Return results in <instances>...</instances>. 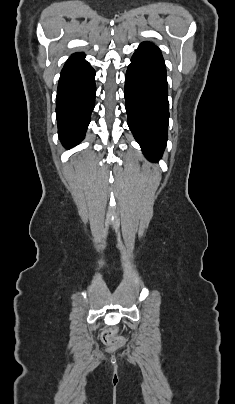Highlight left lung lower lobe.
Segmentation results:
<instances>
[{"label": "left lung lower lobe", "instance_id": "left-lung-lower-lobe-1", "mask_svg": "<svg viewBox=\"0 0 235 404\" xmlns=\"http://www.w3.org/2000/svg\"><path fill=\"white\" fill-rule=\"evenodd\" d=\"M128 126L150 161L165 148L168 127L166 66L160 49L142 43L131 58L125 78Z\"/></svg>", "mask_w": 235, "mask_h": 404}]
</instances>
